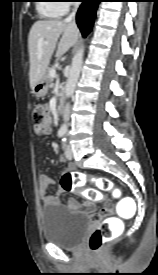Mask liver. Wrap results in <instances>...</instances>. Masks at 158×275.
Instances as JSON below:
<instances>
[{
    "label": "liver",
    "instance_id": "6515ba94",
    "mask_svg": "<svg viewBox=\"0 0 158 275\" xmlns=\"http://www.w3.org/2000/svg\"><path fill=\"white\" fill-rule=\"evenodd\" d=\"M79 34V29L74 22L51 19L39 20L32 25L28 36L29 78L32 90L35 84L46 74L60 35L62 37L56 51L58 58L78 41Z\"/></svg>",
    "mask_w": 158,
    "mask_h": 275
}]
</instances>
